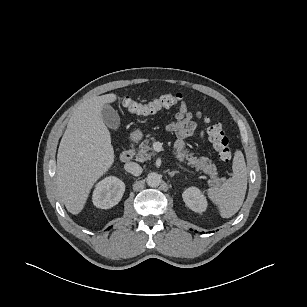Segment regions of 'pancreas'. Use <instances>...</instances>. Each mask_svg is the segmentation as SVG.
Segmentation results:
<instances>
[{
  "label": "pancreas",
  "mask_w": 307,
  "mask_h": 307,
  "mask_svg": "<svg viewBox=\"0 0 307 307\" xmlns=\"http://www.w3.org/2000/svg\"><path fill=\"white\" fill-rule=\"evenodd\" d=\"M155 141V139L152 137L150 139L144 140L139 145V150L136 154V160L140 162H144L146 160H150L152 156H154L155 152L152 147L149 146V142ZM194 153H189L188 150L183 151L182 153L178 154V158L180 161H186L187 165H191L192 167H195L197 170L203 171L205 174L210 175L211 181L210 184L213 186H220L223 182V179H220L217 177V168L215 164L212 163V160H210L207 157H200L197 158L193 156Z\"/></svg>",
  "instance_id": "1"
}]
</instances>
